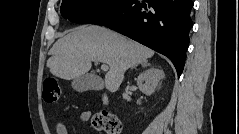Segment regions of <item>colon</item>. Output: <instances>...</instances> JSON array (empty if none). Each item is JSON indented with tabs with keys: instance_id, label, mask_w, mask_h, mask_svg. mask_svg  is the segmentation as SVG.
Wrapping results in <instances>:
<instances>
[{
	"instance_id": "5ec220e1",
	"label": "colon",
	"mask_w": 239,
	"mask_h": 134,
	"mask_svg": "<svg viewBox=\"0 0 239 134\" xmlns=\"http://www.w3.org/2000/svg\"><path fill=\"white\" fill-rule=\"evenodd\" d=\"M43 98L49 104H57L61 100V89L55 78L47 77L43 82ZM95 130L105 134H120L122 124L120 120L107 111H102L92 117Z\"/></svg>"
}]
</instances>
